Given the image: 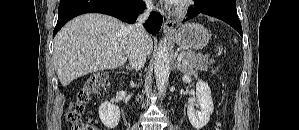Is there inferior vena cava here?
Here are the masks:
<instances>
[{
	"mask_svg": "<svg viewBox=\"0 0 299 130\" xmlns=\"http://www.w3.org/2000/svg\"><path fill=\"white\" fill-rule=\"evenodd\" d=\"M146 7L147 9L138 16L137 21L129 26L130 45L128 50V60L135 70H140L144 67L147 57L144 43L146 33L143 24L149 16L152 4L147 3Z\"/></svg>",
	"mask_w": 299,
	"mask_h": 130,
	"instance_id": "1",
	"label": "inferior vena cava"
}]
</instances>
